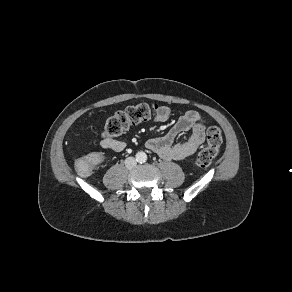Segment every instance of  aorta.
Wrapping results in <instances>:
<instances>
[{
	"instance_id": "762f6f07",
	"label": "aorta",
	"mask_w": 292,
	"mask_h": 292,
	"mask_svg": "<svg viewBox=\"0 0 292 292\" xmlns=\"http://www.w3.org/2000/svg\"><path fill=\"white\" fill-rule=\"evenodd\" d=\"M136 157H137V160H138L139 162H144V161L147 159V155H146L145 152H138V153L136 154Z\"/></svg>"
}]
</instances>
